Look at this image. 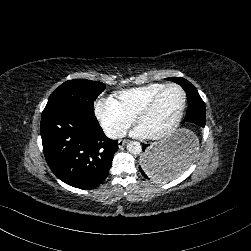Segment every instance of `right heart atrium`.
<instances>
[{
  "instance_id": "right-heart-atrium-1",
  "label": "right heart atrium",
  "mask_w": 251,
  "mask_h": 251,
  "mask_svg": "<svg viewBox=\"0 0 251 251\" xmlns=\"http://www.w3.org/2000/svg\"><path fill=\"white\" fill-rule=\"evenodd\" d=\"M94 113L106 134L111 138L121 137L136 120L114 95L101 96L94 102Z\"/></svg>"
}]
</instances>
